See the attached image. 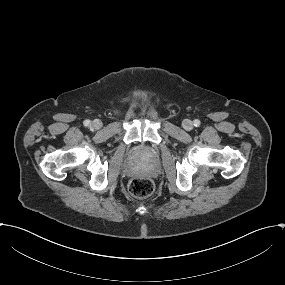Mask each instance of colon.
<instances>
[{"label": "colon", "instance_id": "5ec220e1", "mask_svg": "<svg viewBox=\"0 0 285 285\" xmlns=\"http://www.w3.org/2000/svg\"><path fill=\"white\" fill-rule=\"evenodd\" d=\"M155 189L154 182L149 178H133L129 183L130 193L137 198L150 196Z\"/></svg>", "mask_w": 285, "mask_h": 285}]
</instances>
